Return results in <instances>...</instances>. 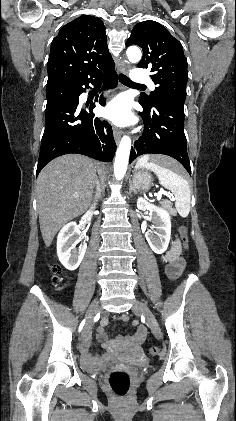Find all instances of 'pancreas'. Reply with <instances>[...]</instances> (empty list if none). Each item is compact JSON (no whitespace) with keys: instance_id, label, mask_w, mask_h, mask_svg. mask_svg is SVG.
I'll list each match as a JSON object with an SVG mask.
<instances>
[{"instance_id":"obj_1","label":"pancreas","mask_w":236,"mask_h":421,"mask_svg":"<svg viewBox=\"0 0 236 421\" xmlns=\"http://www.w3.org/2000/svg\"><path fill=\"white\" fill-rule=\"evenodd\" d=\"M163 208H167L168 213L170 215H173V217H176L177 213L175 211V208H172V202H169V200H164V202H161Z\"/></svg>"}]
</instances>
